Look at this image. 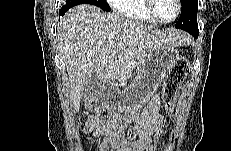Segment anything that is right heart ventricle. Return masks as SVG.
Masks as SVG:
<instances>
[{
	"instance_id": "e07e8e85",
	"label": "right heart ventricle",
	"mask_w": 231,
	"mask_h": 151,
	"mask_svg": "<svg viewBox=\"0 0 231 151\" xmlns=\"http://www.w3.org/2000/svg\"><path fill=\"white\" fill-rule=\"evenodd\" d=\"M146 0H120L115 9L129 22L154 25L153 20L146 11Z\"/></svg>"
}]
</instances>
